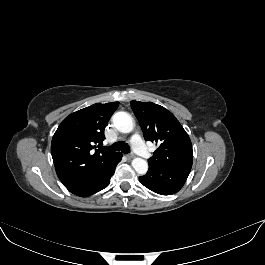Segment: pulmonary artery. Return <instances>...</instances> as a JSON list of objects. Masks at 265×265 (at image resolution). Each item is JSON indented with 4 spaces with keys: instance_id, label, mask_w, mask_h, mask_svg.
<instances>
[{
    "instance_id": "e3ab8cb5",
    "label": "pulmonary artery",
    "mask_w": 265,
    "mask_h": 265,
    "mask_svg": "<svg viewBox=\"0 0 265 265\" xmlns=\"http://www.w3.org/2000/svg\"><path fill=\"white\" fill-rule=\"evenodd\" d=\"M131 144L134 150L141 155L142 157L149 158L152 153L149 149L144 145L143 139L139 133H134L131 137Z\"/></svg>"
}]
</instances>
